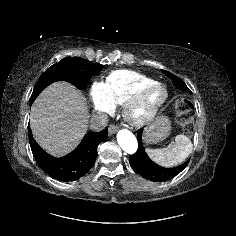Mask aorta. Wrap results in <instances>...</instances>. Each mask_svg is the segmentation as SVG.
Instances as JSON below:
<instances>
[{"mask_svg": "<svg viewBox=\"0 0 236 236\" xmlns=\"http://www.w3.org/2000/svg\"><path fill=\"white\" fill-rule=\"evenodd\" d=\"M117 141L119 146L128 154H133L137 151L138 142L135 135L126 129H121L117 133Z\"/></svg>", "mask_w": 236, "mask_h": 236, "instance_id": "1", "label": "aorta"}]
</instances>
